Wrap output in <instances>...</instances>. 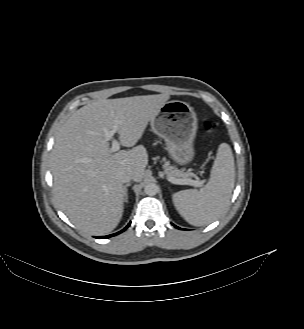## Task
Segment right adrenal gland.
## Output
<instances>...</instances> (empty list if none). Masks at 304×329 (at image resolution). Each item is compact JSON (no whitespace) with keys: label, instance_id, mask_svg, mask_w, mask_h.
<instances>
[{"label":"right adrenal gland","instance_id":"right-adrenal-gland-1","mask_svg":"<svg viewBox=\"0 0 304 329\" xmlns=\"http://www.w3.org/2000/svg\"><path fill=\"white\" fill-rule=\"evenodd\" d=\"M130 186V184L124 185V196H125V202H128V189L127 187Z\"/></svg>","mask_w":304,"mask_h":329}]
</instances>
